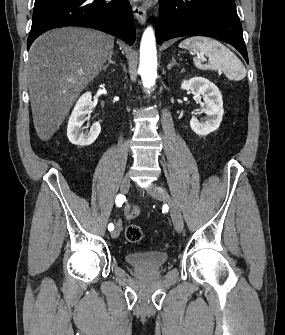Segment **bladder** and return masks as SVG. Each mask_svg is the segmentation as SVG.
<instances>
[{
	"instance_id": "1",
	"label": "bladder",
	"mask_w": 285,
	"mask_h": 335,
	"mask_svg": "<svg viewBox=\"0 0 285 335\" xmlns=\"http://www.w3.org/2000/svg\"><path fill=\"white\" fill-rule=\"evenodd\" d=\"M169 260L170 255L165 250L149 252L127 251L124 253L126 265L141 272L153 271L164 267Z\"/></svg>"
}]
</instances>
